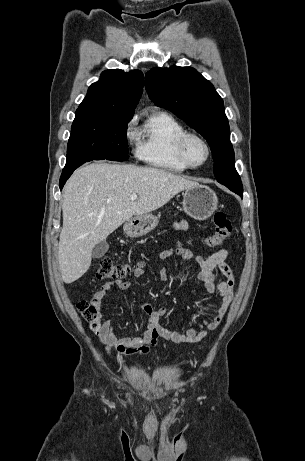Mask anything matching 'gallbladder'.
Listing matches in <instances>:
<instances>
[{"label":"gallbladder","mask_w":305,"mask_h":461,"mask_svg":"<svg viewBox=\"0 0 305 461\" xmlns=\"http://www.w3.org/2000/svg\"><path fill=\"white\" fill-rule=\"evenodd\" d=\"M108 249H109V245L104 240V241L98 243L97 245H95V247L92 250V257L94 259L101 258V257H103L105 255V253L108 251Z\"/></svg>","instance_id":"gallbladder-1"}]
</instances>
